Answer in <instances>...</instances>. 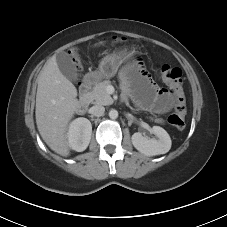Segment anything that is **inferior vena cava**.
<instances>
[{
	"label": "inferior vena cava",
	"mask_w": 227,
	"mask_h": 227,
	"mask_svg": "<svg viewBox=\"0 0 227 227\" xmlns=\"http://www.w3.org/2000/svg\"><path fill=\"white\" fill-rule=\"evenodd\" d=\"M104 112L105 108L102 105H95L90 108V113L97 117L104 115Z\"/></svg>",
	"instance_id": "inferior-vena-cava-1"
}]
</instances>
